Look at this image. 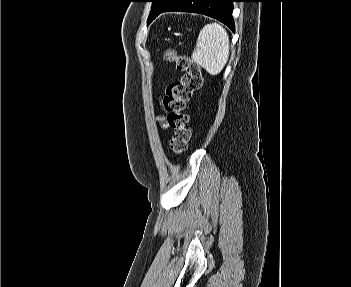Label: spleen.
Segmentation results:
<instances>
[{
  "label": "spleen",
  "mask_w": 351,
  "mask_h": 287,
  "mask_svg": "<svg viewBox=\"0 0 351 287\" xmlns=\"http://www.w3.org/2000/svg\"><path fill=\"white\" fill-rule=\"evenodd\" d=\"M229 57V37L218 23L205 25L200 31L192 61L203 67L209 74H219Z\"/></svg>",
  "instance_id": "obj_1"
}]
</instances>
